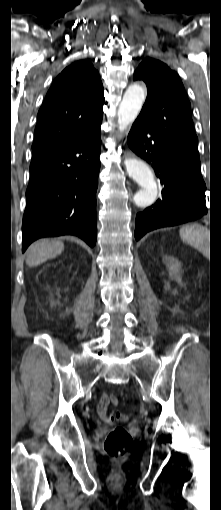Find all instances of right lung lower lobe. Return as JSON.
<instances>
[{"label":"right lung lower lobe","mask_w":221,"mask_h":510,"mask_svg":"<svg viewBox=\"0 0 221 510\" xmlns=\"http://www.w3.org/2000/svg\"><path fill=\"white\" fill-rule=\"evenodd\" d=\"M100 125L33 152L22 252L39 238L61 235H75L95 246Z\"/></svg>","instance_id":"1"}]
</instances>
